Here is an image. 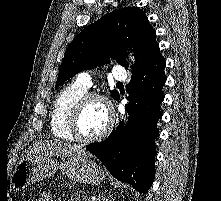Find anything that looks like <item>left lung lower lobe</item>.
Returning <instances> with one entry per match:
<instances>
[{
    "instance_id": "0a47b994",
    "label": "left lung lower lobe",
    "mask_w": 221,
    "mask_h": 201,
    "mask_svg": "<svg viewBox=\"0 0 221 201\" xmlns=\"http://www.w3.org/2000/svg\"><path fill=\"white\" fill-rule=\"evenodd\" d=\"M165 65L166 60L160 55L132 76L127 85L130 103L126 106L129 111L126 126L120 123L106 140L86 147L116 179L129 183L140 193L148 192L155 176L154 140L159 136L156 123L162 117Z\"/></svg>"
}]
</instances>
